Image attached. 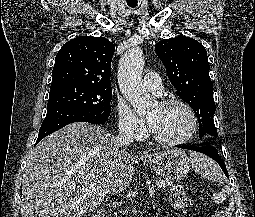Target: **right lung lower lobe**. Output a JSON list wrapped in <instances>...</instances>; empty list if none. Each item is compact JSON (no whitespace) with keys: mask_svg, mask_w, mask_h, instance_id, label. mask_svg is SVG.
<instances>
[{"mask_svg":"<svg viewBox=\"0 0 255 217\" xmlns=\"http://www.w3.org/2000/svg\"><path fill=\"white\" fill-rule=\"evenodd\" d=\"M108 117H101L88 111L68 106H54L47 108L46 117L40 127L37 143L47 135L61 129L72 122H88L92 124H103Z\"/></svg>","mask_w":255,"mask_h":217,"instance_id":"98d812e1","label":"right lung lower lobe"}]
</instances>
